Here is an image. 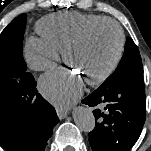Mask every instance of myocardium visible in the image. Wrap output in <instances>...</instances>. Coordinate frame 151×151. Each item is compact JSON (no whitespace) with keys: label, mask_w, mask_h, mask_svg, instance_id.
I'll return each mask as SVG.
<instances>
[{"label":"myocardium","mask_w":151,"mask_h":151,"mask_svg":"<svg viewBox=\"0 0 151 151\" xmlns=\"http://www.w3.org/2000/svg\"><path fill=\"white\" fill-rule=\"evenodd\" d=\"M104 25H110L114 27V29L116 30L117 37H118L117 52L112 63L102 74L87 81V83L90 85H99L105 82L115 72L118 65L120 64L123 54H124V49H125V35H124V31L121 25L117 21L110 18H105V19L96 21L88 25L78 35H76L74 38L68 41L62 49L63 59L66 64H69V52L72 49L81 45L92 31Z\"/></svg>","instance_id":"1"}]
</instances>
